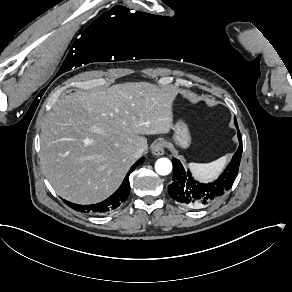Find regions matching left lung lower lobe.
Here are the masks:
<instances>
[{"mask_svg":"<svg viewBox=\"0 0 292 292\" xmlns=\"http://www.w3.org/2000/svg\"><path fill=\"white\" fill-rule=\"evenodd\" d=\"M238 138L240 145L231 162L219 178L211 183L204 184L194 180L189 170L185 171L181 162L173 158L174 173L172 183L168 186L169 195L179 204L190 209L209 206L222 198L230 190L238 174L242 156V138L239 129Z\"/></svg>","mask_w":292,"mask_h":292,"instance_id":"left-lung-lower-lobe-1","label":"left lung lower lobe"}]
</instances>
